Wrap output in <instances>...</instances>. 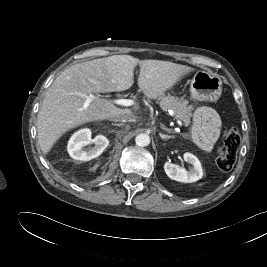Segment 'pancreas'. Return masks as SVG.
<instances>
[{
    "label": "pancreas",
    "instance_id": "cf45deb5",
    "mask_svg": "<svg viewBox=\"0 0 267 267\" xmlns=\"http://www.w3.org/2000/svg\"><path fill=\"white\" fill-rule=\"evenodd\" d=\"M157 103H159L163 110H172L174 117L183 121L186 126L190 125L193 108L187 105V102L183 101L182 98L178 99L170 94H162L158 97Z\"/></svg>",
    "mask_w": 267,
    "mask_h": 267
}]
</instances>
